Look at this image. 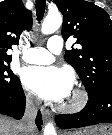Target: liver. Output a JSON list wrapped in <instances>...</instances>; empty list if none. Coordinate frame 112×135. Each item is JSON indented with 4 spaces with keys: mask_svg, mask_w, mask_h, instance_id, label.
Returning a JSON list of instances; mask_svg holds the SVG:
<instances>
[{
    "mask_svg": "<svg viewBox=\"0 0 112 135\" xmlns=\"http://www.w3.org/2000/svg\"><path fill=\"white\" fill-rule=\"evenodd\" d=\"M20 122L0 115V135H22Z\"/></svg>",
    "mask_w": 112,
    "mask_h": 135,
    "instance_id": "obj_1",
    "label": "liver"
}]
</instances>
